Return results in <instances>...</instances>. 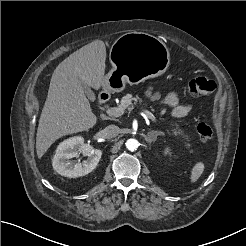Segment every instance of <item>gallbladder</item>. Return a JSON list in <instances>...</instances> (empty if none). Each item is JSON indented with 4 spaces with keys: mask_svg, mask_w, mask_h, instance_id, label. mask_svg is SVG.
<instances>
[{
    "mask_svg": "<svg viewBox=\"0 0 246 246\" xmlns=\"http://www.w3.org/2000/svg\"><path fill=\"white\" fill-rule=\"evenodd\" d=\"M82 86H83L84 91H85V93L87 94L88 98H89L90 100H93V98H94V93L92 92V90L90 89V87L87 86L86 84H84L83 82H82Z\"/></svg>",
    "mask_w": 246,
    "mask_h": 246,
    "instance_id": "bac80fb5",
    "label": "gallbladder"
}]
</instances>
